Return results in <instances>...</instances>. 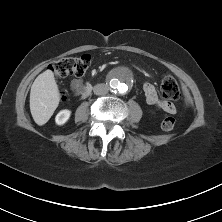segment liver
<instances>
[{"label":"liver","mask_w":222,"mask_h":222,"mask_svg":"<svg viewBox=\"0 0 222 222\" xmlns=\"http://www.w3.org/2000/svg\"><path fill=\"white\" fill-rule=\"evenodd\" d=\"M60 93L51 70L39 74L30 91V111L38 125H44L59 105Z\"/></svg>","instance_id":"1"}]
</instances>
